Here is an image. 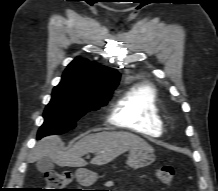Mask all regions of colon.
<instances>
[{"label": "colon", "mask_w": 218, "mask_h": 191, "mask_svg": "<svg viewBox=\"0 0 218 191\" xmlns=\"http://www.w3.org/2000/svg\"><path fill=\"white\" fill-rule=\"evenodd\" d=\"M174 168L170 165L161 166L156 171L158 180L163 184H171L174 179ZM46 187L44 191H71L67 186L71 182L68 171H53L44 175Z\"/></svg>", "instance_id": "5ec220e1"}]
</instances>
